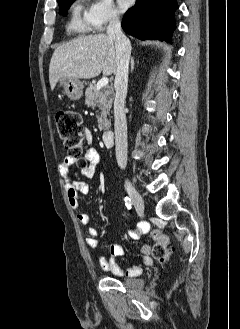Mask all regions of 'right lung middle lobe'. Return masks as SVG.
Wrapping results in <instances>:
<instances>
[{
  "mask_svg": "<svg viewBox=\"0 0 240 329\" xmlns=\"http://www.w3.org/2000/svg\"><path fill=\"white\" fill-rule=\"evenodd\" d=\"M75 0H62L58 2V5L60 6L59 12L64 16L72 2Z\"/></svg>",
  "mask_w": 240,
  "mask_h": 329,
  "instance_id": "1",
  "label": "right lung middle lobe"
}]
</instances>
